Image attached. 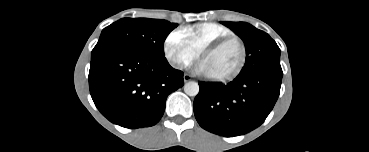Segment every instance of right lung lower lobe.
<instances>
[{
	"instance_id": "obj_1",
	"label": "right lung lower lobe",
	"mask_w": 369,
	"mask_h": 152,
	"mask_svg": "<svg viewBox=\"0 0 369 152\" xmlns=\"http://www.w3.org/2000/svg\"><path fill=\"white\" fill-rule=\"evenodd\" d=\"M183 76L166 58L117 50L91 58L90 94L112 123L149 127L163 116L167 96L184 85Z\"/></svg>"
}]
</instances>
